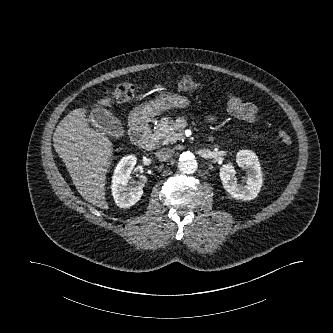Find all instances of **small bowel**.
<instances>
[{"mask_svg": "<svg viewBox=\"0 0 333 333\" xmlns=\"http://www.w3.org/2000/svg\"><path fill=\"white\" fill-rule=\"evenodd\" d=\"M229 112L242 120L253 121L257 118V108L253 103L243 102L239 98L229 96L228 98ZM210 121L214 118H209Z\"/></svg>", "mask_w": 333, "mask_h": 333, "instance_id": "1", "label": "small bowel"}]
</instances>
